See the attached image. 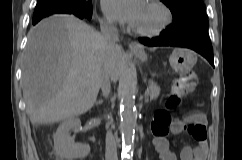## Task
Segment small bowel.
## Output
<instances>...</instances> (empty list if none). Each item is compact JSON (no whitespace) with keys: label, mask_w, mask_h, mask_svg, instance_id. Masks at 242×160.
Wrapping results in <instances>:
<instances>
[{"label":"small bowel","mask_w":242,"mask_h":160,"mask_svg":"<svg viewBox=\"0 0 242 160\" xmlns=\"http://www.w3.org/2000/svg\"><path fill=\"white\" fill-rule=\"evenodd\" d=\"M201 125L204 130L205 137L202 139H195L193 137L194 127ZM187 130L188 133L195 139L196 146H186L181 150L180 160H206L207 156V132L205 118L200 113H194L187 116L185 119H174L168 126V131L162 134L154 133L153 145L159 154L160 160H178L176 155L169 149V139L167 134L170 131L172 134H180Z\"/></svg>","instance_id":"c3829d8e"}]
</instances>
